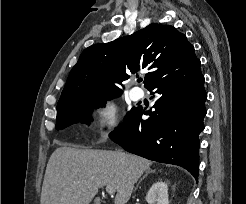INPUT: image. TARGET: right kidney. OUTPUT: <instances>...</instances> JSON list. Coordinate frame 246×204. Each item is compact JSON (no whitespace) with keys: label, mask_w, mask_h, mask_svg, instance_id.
<instances>
[{"label":"right kidney","mask_w":246,"mask_h":204,"mask_svg":"<svg viewBox=\"0 0 246 204\" xmlns=\"http://www.w3.org/2000/svg\"><path fill=\"white\" fill-rule=\"evenodd\" d=\"M146 201L148 204H169L167 184L162 181L154 183L147 192Z\"/></svg>","instance_id":"right-kidney-1"}]
</instances>
